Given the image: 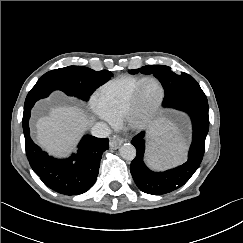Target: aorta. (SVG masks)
I'll return each mask as SVG.
<instances>
[{"label": "aorta", "instance_id": "1", "mask_svg": "<svg viewBox=\"0 0 243 243\" xmlns=\"http://www.w3.org/2000/svg\"><path fill=\"white\" fill-rule=\"evenodd\" d=\"M120 156L128 161H132L136 156V148L129 143L123 144L119 149Z\"/></svg>", "mask_w": 243, "mask_h": 243}]
</instances>
